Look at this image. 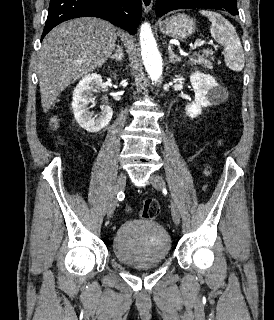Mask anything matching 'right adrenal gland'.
<instances>
[{
	"instance_id": "2a0ac1e0",
	"label": "right adrenal gland",
	"mask_w": 274,
	"mask_h": 320,
	"mask_svg": "<svg viewBox=\"0 0 274 320\" xmlns=\"http://www.w3.org/2000/svg\"><path fill=\"white\" fill-rule=\"evenodd\" d=\"M109 58H112V60H116V62H121V60H123L124 58L122 54V48H120V46H117V50H115L114 56H109Z\"/></svg>"
}]
</instances>
